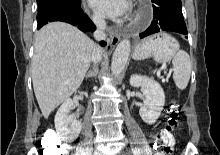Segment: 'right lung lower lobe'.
Listing matches in <instances>:
<instances>
[{"instance_id": "right-lung-lower-lobe-1", "label": "right lung lower lobe", "mask_w": 220, "mask_h": 155, "mask_svg": "<svg viewBox=\"0 0 220 155\" xmlns=\"http://www.w3.org/2000/svg\"><path fill=\"white\" fill-rule=\"evenodd\" d=\"M38 29L53 21H62L70 23L82 31L95 30V25L92 21L84 14L81 5L70 6V5H57L41 11L37 14ZM101 46H105L106 42L101 41Z\"/></svg>"}]
</instances>
